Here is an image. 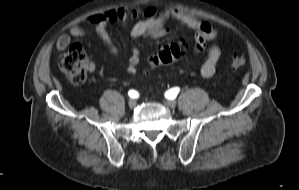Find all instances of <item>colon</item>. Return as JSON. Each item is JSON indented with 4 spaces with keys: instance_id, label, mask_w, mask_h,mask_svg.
I'll return each instance as SVG.
<instances>
[{
    "instance_id": "1",
    "label": "colon",
    "mask_w": 299,
    "mask_h": 190,
    "mask_svg": "<svg viewBox=\"0 0 299 190\" xmlns=\"http://www.w3.org/2000/svg\"><path fill=\"white\" fill-rule=\"evenodd\" d=\"M185 54V47L174 42L162 47L155 56L150 59L153 68L168 66L178 61ZM246 63V55L243 52L231 51V66L240 68ZM59 66L67 78L74 84H82L86 80L87 58L83 47L72 44L66 53L59 59Z\"/></svg>"
}]
</instances>
